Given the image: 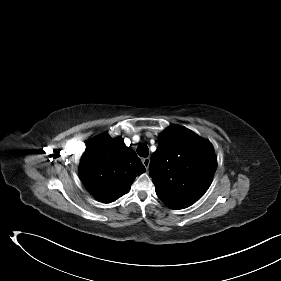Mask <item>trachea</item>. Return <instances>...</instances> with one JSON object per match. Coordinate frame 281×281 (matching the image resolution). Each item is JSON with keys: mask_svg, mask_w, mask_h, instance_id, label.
Listing matches in <instances>:
<instances>
[{"mask_svg": "<svg viewBox=\"0 0 281 281\" xmlns=\"http://www.w3.org/2000/svg\"><path fill=\"white\" fill-rule=\"evenodd\" d=\"M137 153L139 156L146 158L149 154L148 146L144 143L140 144L137 147Z\"/></svg>", "mask_w": 281, "mask_h": 281, "instance_id": "3493384b", "label": "trachea"}]
</instances>
